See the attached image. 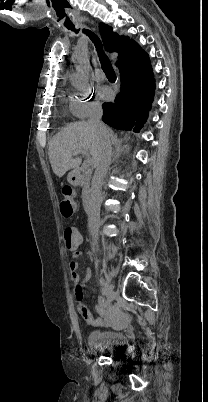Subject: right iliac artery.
Wrapping results in <instances>:
<instances>
[{"label": "right iliac artery", "instance_id": "right-iliac-artery-1", "mask_svg": "<svg viewBox=\"0 0 208 402\" xmlns=\"http://www.w3.org/2000/svg\"><path fill=\"white\" fill-rule=\"evenodd\" d=\"M101 292H102V294H103L104 296L108 297V291H107L106 287H102V288H101Z\"/></svg>", "mask_w": 208, "mask_h": 402}]
</instances>
